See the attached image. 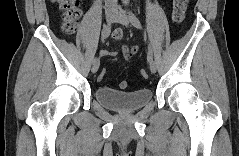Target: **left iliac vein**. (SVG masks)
I'll return each mask as SVG.
<instances>
[{
  "label": "left iliac vein",
  "instance_id": "obj_1",
  "mask_svg": "<svg viewBox=\"0 0 239 156\" xmlns=\"http://www.w3.org/2000/svg\"><path fill=\"white\" fill-rule=\"evenodd\" d=\"M114 21L124 26H129L130 23L129 18L123 14L121 8L117 9ZM150 70L152 73H155L157 70L156 63L153 61L150 63Z\"/></svg>",
  "mask_w": 239,
  "mask_h": 156
}]
</instances>
